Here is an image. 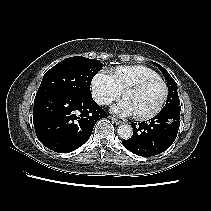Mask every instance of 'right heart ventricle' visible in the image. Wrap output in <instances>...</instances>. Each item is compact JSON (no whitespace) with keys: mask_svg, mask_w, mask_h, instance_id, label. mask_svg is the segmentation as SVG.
<instances>
[{"mask_svg":"<svg viewBox=\"0 0 211 211\" xmlns=\"http://www.w3.org/2000/svg\"><path fill=\"white\" fill-rule=\"evenodd\" d=\"M113 76L122 91L139 80L160 77L155 70L144 65L119 66L114 69Z\"/></svg>","mask_w":211,"mask_h":211,"instance_id":"e07e8e85","label":"right heart ventricle"}]
</instances>
